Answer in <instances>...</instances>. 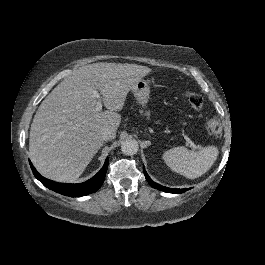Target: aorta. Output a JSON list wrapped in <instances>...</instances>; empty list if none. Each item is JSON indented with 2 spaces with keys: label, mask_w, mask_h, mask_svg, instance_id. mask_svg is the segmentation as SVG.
I'll use <instances>...</instances> for the list:
<instances>
[{
  "label": "aorta",
  "mask_w": 265,
  "mask_h": 265,
  "mask_svg": "<svg viewBox=\"0 0 265 265\" xmlns=\"http://www.w3.org/2000/svg\"><path fill=\"white\" fill-rule=\"evenodd\" d=\"M139 149V144L137 140L129 138L122 142L121 144V150L126 155H133L135 154Z\"/></svg>",
  "instance_id": "obj_1"
}]
</instances>
